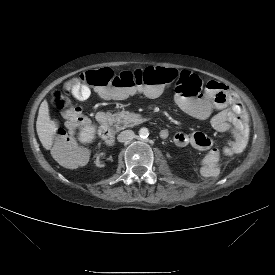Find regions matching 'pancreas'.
<instances>
[{
  "mask_svg": "<svg viewBox=\"0 0 275 275\" xmlns=\"http://www.w3.org/2000/svg\"><path fill=\"white\" fill-rule=\"evenodd\" d=\"M115 128L117 130H122L128 127H133L140 123L141 115L133 112L122 110L113 115Z\"/></svg>",
  "mask_w": 275,
  "mask_h": 275,
  "instance_id": "pancreas-1",
  "label": "pancreas"
}]
</instances>
